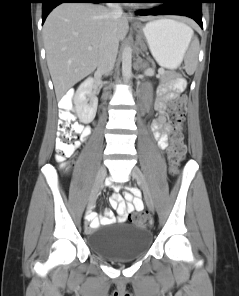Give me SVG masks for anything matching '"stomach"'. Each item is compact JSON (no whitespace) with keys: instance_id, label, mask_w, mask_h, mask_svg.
Wrapping results in <instances>:
<instances>
[{"instance_id":"stomach-1","label":"stomach","mask_w":239,"mask_h":296,"mask_svg":"<svg viewBox=\"0 0 239 296\" xmlns=\"http://www.w3.org/2000/svg\"><path fill=\"white\" fill-rule=\"evenodd\" d=\"M135 28L144 35L160 66L173 70L180 65L189 44L187 25L161 18L152 20L145 26L138 24Z\"/></svg>"}]
</instances>
